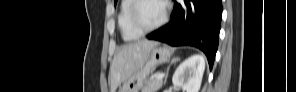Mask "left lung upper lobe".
I'll list each match as a JSON object with an SVG mask.
<instances>
[{"mask_svg": "<svg viewBox=\"0 0 296 92\" xmlns=\"http://www.w3.org/2000/svg\"><path fill=\"white\" fill-rule=\"evenodd\" d=\"M117 0H114V3L116 4Z\"/></svg>", "mask_w": 296, "mask_h": 92, "instance_id": "5c2ea615", "label": "left lung upper lobe"}]
</instances>
